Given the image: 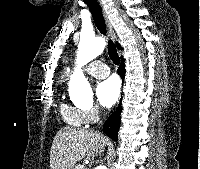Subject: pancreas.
<instances>
[{
	"mask_svg": "<svg viewBox=\"0 0 200 169\" xmlns=\"http://www.w3.org/2000/svg\"><path fill=\"white\" fill-rule=\"evenodd\" d=\"M73 169H85V168L81 164H78Z\"/></svg>",
	"mask_w": 200,
	"mask_h": 169,
	"instance_id": "1",
	"label": "pancreas"
}]
</instances>
